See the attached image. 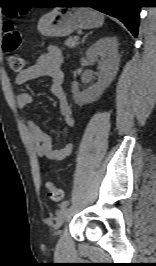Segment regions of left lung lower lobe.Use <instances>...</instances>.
<instances>
[{
    "label": "left lung lower lobe",
    "mask_w": 156,
    "mask_h": 266,
    "mask_svg": "<svg viewBox=\"0 0 156 266\" xmlns=\"http://www.w3.org/2000/svg\"><path fill=\"white\" fill-rule=\"evenodd\" d=\"M63 3L93 7L119 19L135 37L137 36L140 14L139 0H67Z\"/></svg>",
    "instance_id": "left-lung-lower-lobe-1"
}]
</instances>
